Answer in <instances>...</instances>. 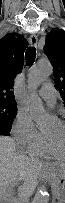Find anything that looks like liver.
Returning <instances> with one entry per match:
<instances>
[{
    "instance_id": "liver-1",
    "label": "liver",
    "mask_w": 65,
    "mask_h": 203,
    "mask_svg": "<svg viewBox=\"0 0 65 203\" xmlns=\"http://www.w3.org/2000/svg\"><path fill=\"white\" fill-rule=\"evenodd\" d=\"M15 142L12 138L0 137V196L1 203L8 197H13L14 188L18 187V197L13 203L25 202L34 192L37 178L47 175V169L56 164L43 163L34 158L15 152Z\"/></svg>"
}]
</instances>
